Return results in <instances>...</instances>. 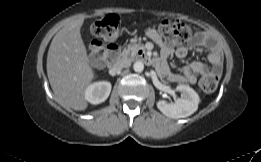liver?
Wrapping results in <instances>:
<instances>
[{
	"mask_svg": "<svg viewBox=\"0 0 261 162\" xmlns=\"http://www.w3.org/2000/svg\"><path fill=\"white\" fill-rule=\"evenodd\" d=\"M83 22V18L76 19L60 29L47 55V75L52 90L60 102L77 111L87 108L84 93L95 78L80 34Z\"/></svg>",
	"mask_w": 261,
	"mask_h": 162,
	"instance_id": "obj_1",
	"label": "liver"
}]
</instances>
